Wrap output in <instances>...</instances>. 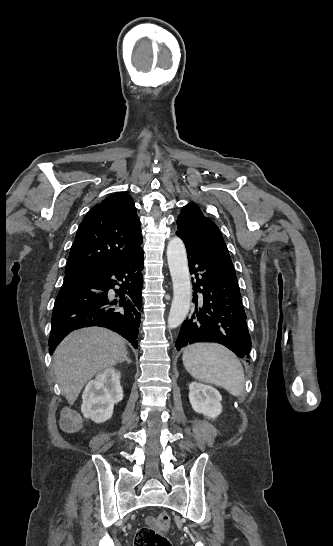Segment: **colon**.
Wrapping results in <instances>:
<instances>
[{"mask_svg":"<svg viewBox=\"0 0 333 546\" xmlns=\"http://www.w3.org/2000/svg\"><path fill=\"white\" fill-rule=\"evenodd\" d=\"M171 518L168 513L161 512L156 516V527H142L135 536V546H171L165 535Z\"/></svg>","mask_w":333,"mask_h":546,"instance_id":"5ec220e1","label":"colon"}]
</instances>
